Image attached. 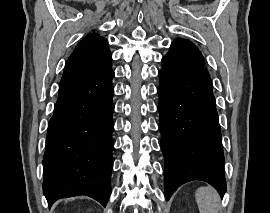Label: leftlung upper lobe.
<instances>
[{
  "label": "left lung upper lobe",
  "instance_id": "obj_1",
  "mask_svg": "<svg viewBox=\"0 0 270 213\" xmlns=\"http://www.w3.org/2000/svg\"><path fill=\"white\" fill-rule=\"evenodd\" d=\"M162 65V69L172 71L206 70L199 49L192 42L182 38H177L171 43L169 52L162 58Z\"/></svg>",
  "mask_w": 270,
  "mask_h": 213
}]
</instances>
